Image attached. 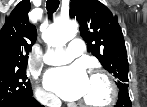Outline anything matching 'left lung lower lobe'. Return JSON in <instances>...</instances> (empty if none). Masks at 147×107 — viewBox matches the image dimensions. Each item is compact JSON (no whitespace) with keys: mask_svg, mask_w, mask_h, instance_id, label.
<instances>
[{"mask_svg":"<svg viewBox=\"0 0 147 107\" xmlns=\"http://www.w3.org/2000/svg\"><path fill=\"white\" fill-rule=\"evenodd\" d=\"M115 107H132L127 87H123L120 89L118 101Z\"/></svg>","mask_w":147,"mask_h":107,"instance_id":"1","label":"left lung lower lobe"}]
</instances>
